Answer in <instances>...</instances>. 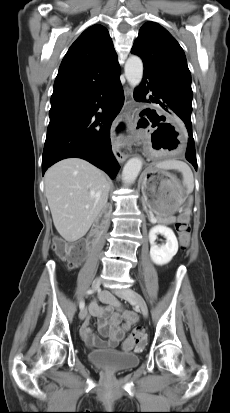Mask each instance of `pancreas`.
Instances as JSON below:
<instances>
[{
    "label": "pancreas",
    "instance_id": "obj_1",
    "mask_svg": "<svg viewBox=\"0 0 230 413\" xmlns=\"http://www.w3.org/2000/svg\"><path fill=\"white\" fill-rule=\"evenodd\" d=\"M174 221H175V220H174L173 217H169V218L165 219V220L162 221V222L165 223V224H171V223H173Z\"/></svg>",
    "mask_w": 230,
    "mask_h": 413
}]
</instances>
